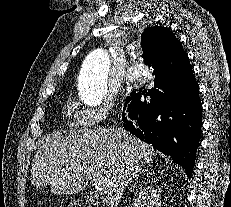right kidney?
Listing matches in <instances>:
<instances>
[{"label":"right kidney","instance_id":"right-kidney-1","mask_svg":"<svg viewBox=\"0 0 231 207\" xmlns=\"http://www.w3.org/2000/svg\"><path fill=\"white\" fill-rule=\"evenodd\" d=\"M134 207H160V193L153 187L143 188L134 198Z\"/></svg>","mask_w":231,"mask_h":207}]
</instances>
